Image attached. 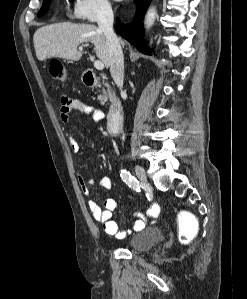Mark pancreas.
Segmentation results:
<instances>
[{
  "label": "pancreas",
  "instance_id": "pancreas-1",
  "mask_svg": "<svg viewBox=\"0 0 247 299\" xmlns=\"http://www.w3.org/2000/svg\"><path fill=\"white\" fill-rule=\"evenodd\" d=\"M106 89H102L103 95H98V100L101 104H104L108 98H112L114 96V92L108 83H104Z\"/></svg>",
  "mask_w": 247,
  "mask_h": 299
}]
</instances>
